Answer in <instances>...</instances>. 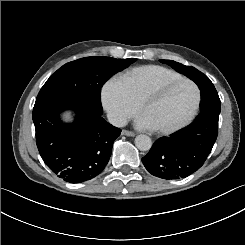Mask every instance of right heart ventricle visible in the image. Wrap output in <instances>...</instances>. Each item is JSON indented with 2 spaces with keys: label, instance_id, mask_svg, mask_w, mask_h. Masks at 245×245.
<instances>
[{
  "label": "right heart ventricle",
  "instance_id": "obj_1",
  "mask_svg": "<svg viewBox=\"0 0 245 245\" xmlns=\"http://www.w3.org/2000/svg\"><path fill=\"white\" fill-rule=\"evenodd\" d=\"M179 77L181 76L178 73L168 68L147 65L121 73L112 81L125 88L131 98L137 102L141 92L150 84Z\"/></svg>",
  "mask_w": 245,
  "mask_h": 245
}]
</instances>
